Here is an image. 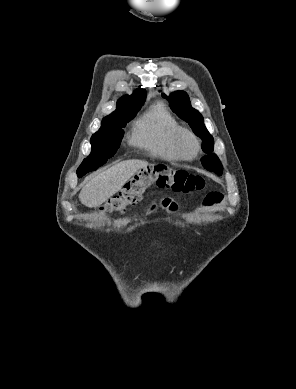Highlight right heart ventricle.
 Masks as SVG:
<instances>
[{"label": "right heart ventricle", "instance_id": "1", "mask_svg": "<svg viewBox=\"0 0 296 389\" xmlns=\"http://www.w3.org/2000/svg\"><path fill=\"white\" fill-rule=\"evenodd\" d=\"M180 124L161 103L144 112L133 124L130 144L155 158L179 161L173 141Z\"/></svg>", "mask_w": 296, "mask_h": 389}]
</instances>
